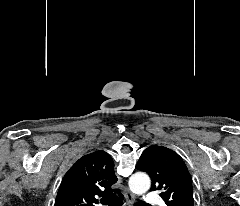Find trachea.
Returning <instances> with one entry per match:
<instances>
[{
	"label": "trachea",
	"instance_id": "trachea-1",
	"mask_svg": "<svg viewBox=\"0 0 240 206\" xmlns=\"http://www.w3.org/2000/svg\"><path fill=\"white\" fill-rule=\"evenodd\" d=\"M101 203L108 206H121L122 202L116 195H112L111 197H104L101 199ZM135 206H142V203H138Z\"/></svg>",
	"mask_w": 240,
	"mask_h": 206
}]
</instances>
